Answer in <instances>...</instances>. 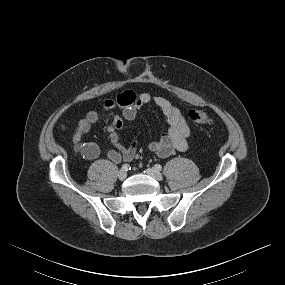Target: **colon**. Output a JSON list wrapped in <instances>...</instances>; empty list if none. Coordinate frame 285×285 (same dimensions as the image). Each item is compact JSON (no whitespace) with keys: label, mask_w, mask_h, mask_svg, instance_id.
I'll return each instance as SVG.
<instances>
[{"label":"colon","mask_w":285,"mask_h":285,"mask_svg":"<svg viewBox=\"0 0 285 285\" xmlns=\"http://www.w3.org/2000/svg\"><path fill=\"white\" fill-rule=\"evenodd\" d=\"M188 117L191 121L197 124H209L211 123V117L204 110H191L188 113Z\"/></svg>","instance_id":"1"}]
</instances>
